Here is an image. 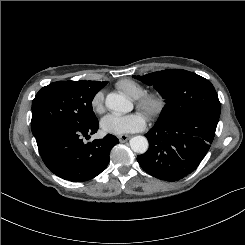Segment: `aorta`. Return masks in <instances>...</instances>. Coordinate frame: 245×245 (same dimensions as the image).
<instances>
[{"instance_id": "1", "label": "aorta", "mask_w": 245, "mask_h": 245, "mask_svg": "<svg viewBox=\"0 0 245 245\" xmlns=\"http://www.w3.org/2000/svg\"><path fill=\"white\" fill-rule=\"evenodd\" d=\"M106 107L114 113L127 112L129 110V102L125 97L117 93H110L105 100ZM148 140L144 136H135L130 139L131 149L139 154H143L148 149Z\"/></svg>"}]
</instances>
